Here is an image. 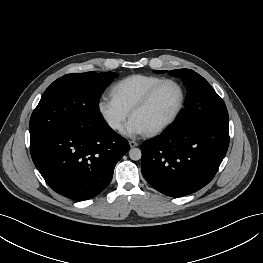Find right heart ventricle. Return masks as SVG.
<instances>
[{"label":"right heart ventricle","mask_w":263,"mask_h":263,"mask_svg":"<svg viewBox=\"0 0 263 263\" xmlns=\"http://www.w3.org/2000/svg\"><path fill=\"white\" fill-rule=\"evenodd\" d=\"M162 79L156 75H131L116 82L111 88V95L122 107L130 111L143 95Z\"/></svg>","instance_id":"right-heart-ventricle-1"}]
</instances>
